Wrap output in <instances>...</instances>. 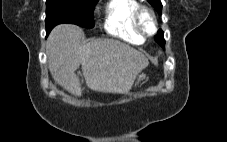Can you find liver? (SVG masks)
<instances>
[{"mask_svg":"<svg viewBox=\"0 0 227 142\" xmlns=\"http://www.w3.org/2000/svg\"><path fill=\"white\" fill-rule=\"evenodd\" d=\"M81 28L71 24L56 26L47 39L49 70L55 83L81 96L77 69L81 65L87 86L97 92L127 93L149 61L128 44L115 39L83 43Z\"/></svg>","mask_w":227,"mask_h":142,"instance_id":"obj_1","label":"liver"}]
</instances>
